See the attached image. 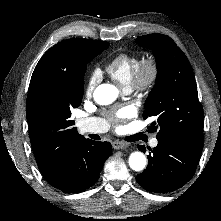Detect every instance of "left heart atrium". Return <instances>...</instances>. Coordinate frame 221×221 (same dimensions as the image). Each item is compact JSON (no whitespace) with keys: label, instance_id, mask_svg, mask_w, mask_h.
Here are the masks:
<instances>
[{"label":"left heart atrium","instance_id":"left-heart-atrium-1","mask_svg":"<svg viewBox=\"0 0 221 221\" xmlns=\"http://www.w3.org/2000/svg\"><path fill=\"white\" fill-rule=\"evenodd\" d=\"M130 109L128 107H122L112 112L110 115L114 119L116 124H119L122 120L130 116Z\"/></svg>","mask_w":221,"mask_h":221}]
</instances>
